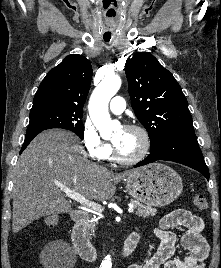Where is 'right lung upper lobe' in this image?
I'll return each instance as SVG.
<instances>
[{"mask_svg": "<svg viewBox=\"0 0 221 268\" xmlns=\"http://www.w3.org/2000/svg\"><path fill=\"white\" fill-rule=\"evenodd\" d=\"M91 78L90 61L82 55H68L41 82L31 112L47 109L83 112Z\"/></svg>", "mask_w": 221, "mask_h": 268, "instance_id": "right-lung-upper-lobe-1", "label": "right lung upper lobe"}]
</instances>
